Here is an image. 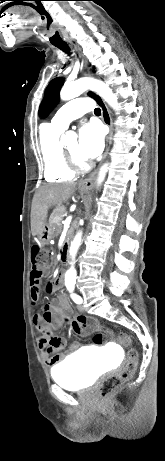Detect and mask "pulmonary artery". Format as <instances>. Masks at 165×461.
<instances>
[{
	"label": "pulmonary artery",
	"instance_id": "1",
	"mask_svg": "<svg viewBox=\"0 0 165 461\" xmlns=\"http://www.w3.org/2000/svg\"><path fill=\"white\" fill-rule=\"evenodd\" d=\"M93 109V102L89 98H77L62 106L54 115L51 124L65 129L68 124Z\"/></svg>",
	"mask_w": 165,
	"mask_h": 461
}]
</instances>
